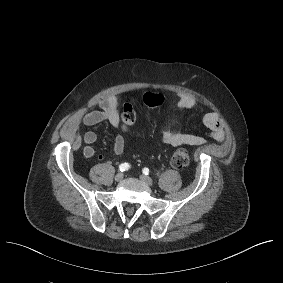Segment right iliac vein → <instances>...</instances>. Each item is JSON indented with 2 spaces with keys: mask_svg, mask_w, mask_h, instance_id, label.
I'll list each match as a JSON object with an SVG mask.
<instances>
[{
  "mask_svg": "<svg viewBox=\"0 0 283 283\" xmlns=\"http://www.w3.org/2000/svg\"><path fill=\"white\" fill-rule=\"evenodd\" d=\"M123 179V173H118V174H116V176H115V181H117V182H119V181H121Z\"/></svg>",
  "mask_w": 283,
  "mask_h": 283,
  "instance_id": "right-iliac-vein-1",
  "label": "right iliac vein"
}]
</instances>
